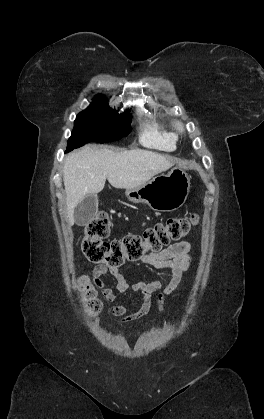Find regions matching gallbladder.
<instances>
[{
	"mask_svg": "<svg viewBox=\"0 0 264 419\" xmlns=\"http://www.w3.org/2000/svg\"><path fill=\"white\" fill-rule=\"evenodd\" d=\"M98 197L95 194L87 195L75 208L74 219L79 226H84L93 220L97 213Z\"/></svg>",
	"mask_w": 264,
	"mask_h": 419,
	"instance_id": "bac80fb5",
	"label": "gallbladder"
}]
</instances>
